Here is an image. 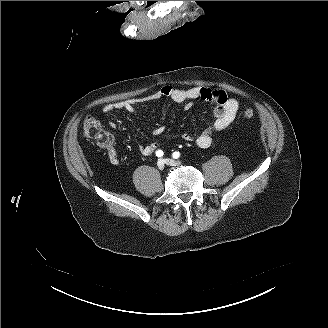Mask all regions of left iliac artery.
<instances>
[{
    "mask_svg": "<svg viewBox=\"0 0 328 328\" xmlns=\"http://www.w3.org/2000/svg\"><path fill=\"white\" fill-rule=\"evenodd\" d=\"M172 156H173V158L177 159V158L180 157V153H179V152H174V153L172 154Z\"/></svg>",
    "mask_w": 328,
    "mask_h": 328,
    "instance_id": "44dca946",
    "label": "left iliac artery"
}]
</instances>
